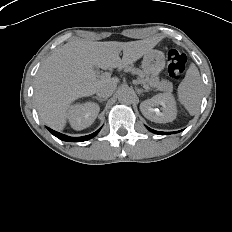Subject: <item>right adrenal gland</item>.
Segmentation results:
<instances>
[{"label":"right adrenal gland","mask_w":232,"mask_h":232,"mask_svg":"<svg viewBox=\"0 0 232 232\" xmlns=\"http://www.w3.org/2000/svg\"><path fill=\"white\" fill-rule=\"evenodd\" d=\"M93 98H95L96 100H98L100 103H102L103 101H105L106 100V98L105 99H101L100 97H93Z\"/></svg>","instance_id":"obj_1"}]
</instances>
